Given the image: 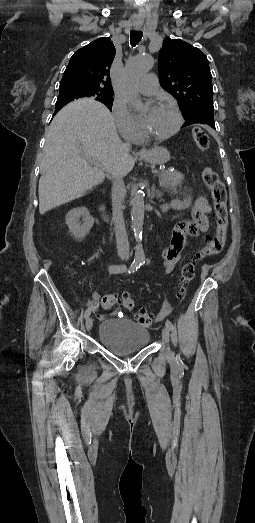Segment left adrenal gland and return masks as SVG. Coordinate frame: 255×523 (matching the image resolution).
<instances>
[{
	"label": "left adrenal gland",
	"instance_id": "1",
	"mask_svg": "<svg viewBox=\"0 0 255 523\" xmlns=\"http://www.w3.org/2000/svg\"><path fill=\"white\" fill-rule=\"evenodd\" d=\"M161 196V192H159V190H155V186L153 184L150 192V198H161Z\"/></svg>",
	"mask_w": 255,
	"mask_h": 523
}]
</instances>
